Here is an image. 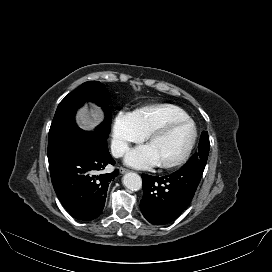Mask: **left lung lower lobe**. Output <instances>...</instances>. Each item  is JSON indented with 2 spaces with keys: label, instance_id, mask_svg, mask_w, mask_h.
Here are the masks:
<instances>
[{
  "label": "left lung lower lobe",
  "instance_id": "0a47b994",
  "mask_svg": "<svg viewBox=\"0 0 272 272\" xmlns=\"http://www.w3.org/2000/svg\"><path fill=\"white\" fill-rule=\"evenodd\" d=\"M205 167H182L167 176L142 175L143 198L140 209L154 225L175 220L190 204Z\"/></svg>",
  "mask_w": 272,
  "mask_h": 272
}]
</instances>
